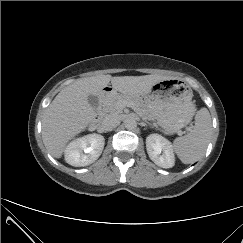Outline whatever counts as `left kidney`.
I'll return each mask as SVG.
<instances>
[{"label": "left kidney", "instance_id": "obj_1", "mask_svg": "<svg viewBox=\"0 0 243 243\" xmlns=\"http://www.w3.org/2000/svg\"><path fill=\"white\" fill-rule=\"evenodd\" d=\"M146 148L150 159L162 168H172L175 164L173 148L166 138L159 134H150L146 138Z\"/></svg>", "mask_w": 243, "mask_h": 243}]
</instances>
